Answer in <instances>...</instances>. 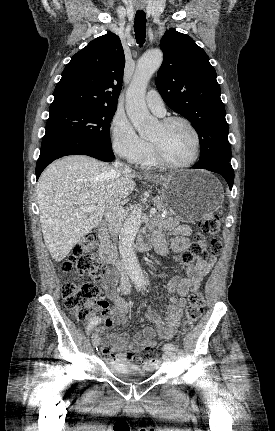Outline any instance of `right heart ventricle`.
I'll use <instances>...</instances> for the list:
<instances>
[{
  "label": "right heart ventricle",
  "mask_w": 275,
  "mask_h": 431,
  "mask_svg": "<svg viewBox=\"0 0 275 431\" xmlns=\"http://www.w3.org/2000/svg\"><path fill=\"white\" fill-rule=\"evenodd\" d=\"M138 163L141 164L143 167L155 166L156 163L152 158L151 150H149V152Z\"/></svg>",
  "instance_id": "e07e8e85"
}]
</instances>
